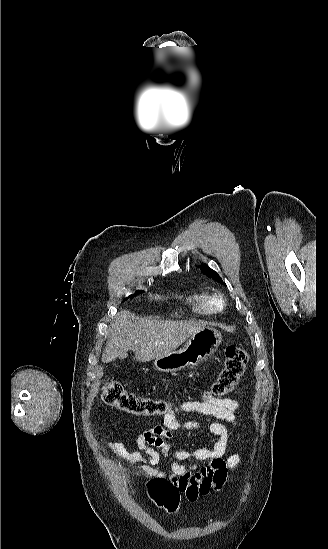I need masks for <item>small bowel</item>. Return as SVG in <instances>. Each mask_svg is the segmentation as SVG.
I'll return each mask as SVG.
<instances>
[{
  "instance_id": "c3829d8e",
  "label": "small bowel",
  "mask_w": 328,
  "mask_h": 549,
  "mask_svg": "<svg viewBox=\"0 0 328 549\" xmlns=\"http://www.w3.org/2000/svg\"><path fill=\"white\" fill-rule=\"evenodd\" d=\"M239 406L238 398L201 397L187 400L164 416L163 425L153 426L135 435L137 451L129 452L119 441L109 442L107 448L133 474L168 479L179 487L188 501L194 502L199 496L220 490L229 472L240 463L237 450L225 457L229 440L227 424L238 427L236 412ZM180 412H195L217 421L206 424L198 420L180 421L177 418ZM202 428L217 437L211 448L171 451L167 441L173 437L174 431H196ZM167 460L169 465L166 471L160 465ZM187 461L191 463L186 464ZM202 461L206 465L201 467L199 462ZM138 462L142 465L136 466Z\"/></svg>"
}]
</instances>
